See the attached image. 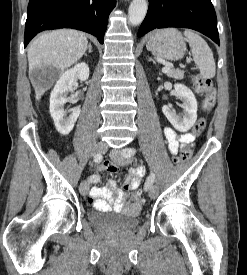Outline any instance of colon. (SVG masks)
Returning a JSON list of instances; mask_svg holds the SVG:
<instances>
[{"label":"colon","mask_w":247,"mask_h":275,"mask_svg":"<svg viewBox=\"0 0 247 275\" xmlns=\"http://www.w3.org/2000/svg\"><path fill=\"white\" fill-rule=\"evenodd\" d=\"M193 80L196 91L204 96L202 104L203 110L205 112H210L214 108L216 103V89L213 83L210 80L201 77H194ZM206 124L207 122L205 118H199L193 127V134H201L205 129ZM191 156L192 150L189 147H186L174 158V162L176 164L185 163L191 158ZM103 166L107 169H110L112 167V164L107 161L103 163ZM134 200L139 205L144 204L145 199L141 191H137L134 193Z\"/></svg>","instance_id":"obj_1"}]
</instances>
